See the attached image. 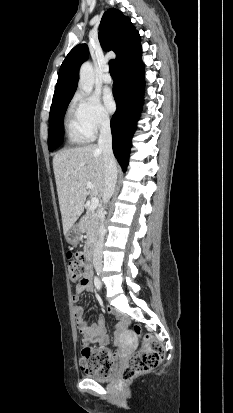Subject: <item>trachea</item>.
Here are the masks:
<instances>
[{"mask_svg": "<svg viewBox=\"0 0 233 413\" xmlns=\"http://www.w3.org/2000/svg\"><path fill=\"white\" fill-rule=\"evenodd\" d=\"M109 71L111 74H116V62L114 59L109 61Z\"/></svg>", "mask_w": 233, "mask_h": 413, "instance_id": "3493384b", "label": "trachea"}]
</instances>
